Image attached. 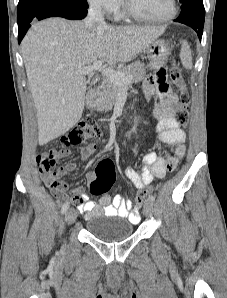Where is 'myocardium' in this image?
<instances>
[{
    "label": "myocardium",
    "mask_w": 227,
    "mask_h": 298,
    "mask_svg": "<svg viewBox=\"0 0 227 298\" xmlns=\"http://www.w3.org/2000/svg\"><path fill=\"white\" fill-rule=\"evenodd\" d=\"M122 6H123V12L127 17H129L133 20H136L139 22H145V23H166V22L172 20L177 15V12H178V5H177L176 0H170L169 13L166 14L165 16L158 17V18L147 17V16H143V15L136 13L128 5L126 0H123Z\"/></svg>",
    "instance_id": "myocardium-1"
}]
</instances>
